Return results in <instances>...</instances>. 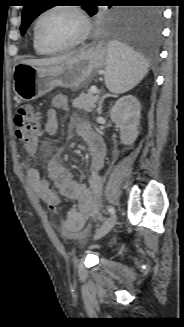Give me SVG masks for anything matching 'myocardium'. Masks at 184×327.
I'll return each mask as SVG.
<instances>
[{
  "label": "myocardium",
  "mask_w": 184,
  "mask_h": 327,
  "mask_svg": "<svg viewBox=\"0 0 184 327\" xmlns=\"http://www.w3.org/2000/svg\"><path fill=\"white\" fill-rule=\"evenodd\" d=\"M56 10H68V11L74 13L78 17V19L82 25V33L76 40H74L73 42H71L69 44L59 46V47H54V46L48 45L47 43H45L42 40V38L40 37V34H39V26H40L42 19L49 13L56 11ZM90 32H91V25H90L89 19H88L87 15L85 14V12L80 7H78L76 5H70V4L53 5L49 8H47L46 10H44L38 16V18L34 24V29H33L34 38H35V41L37 42V44L44 50L51 52V53L67 51V50L73 49V48L81 45L82 43H84L87 40V38L90 35Z\"/></svg>",
  "instance_id": "1"
}]
</instances>
